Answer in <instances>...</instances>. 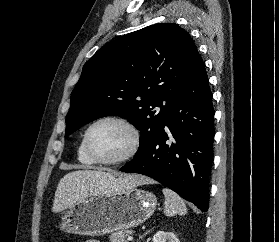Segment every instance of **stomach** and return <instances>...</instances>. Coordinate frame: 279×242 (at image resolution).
<instances>
[{"mask_svg": "<svg viewBox=\"0 0 279 242\" xmlns=\"http://www.w3.org/2000/svg\"><path fill=\"white\" fill-rule=\"evenodd\" d=\"M156 206L153 193L136 187L91 195L69 207L59 228L64 233L102 236L141 225Z\"/></svg>", "mask_w": 279, "mask_h": 242, "instance_id": "obj_1", "label": "stomach"}]
</instances>
